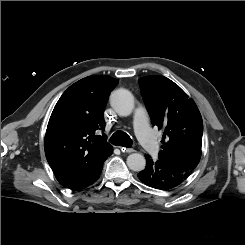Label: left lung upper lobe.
I'll return each mask as SVG.
<instances>
[{"instance_id":"1","label":"left lung upper lobe","mask_w":245,"mask_h":245,"mask_svg":"<svg viewBox=\"0 0 245 245\" xmlns=\"http://www.w3.org/2000/svg\"><path fill=\"white\" fill-rule=\"evenodd\" d=\"M139 81L152 123L163 131L158 158L191 174L202 153L203 123L196 104L164 76H146Z\"/></svg>"}]
</instances>
